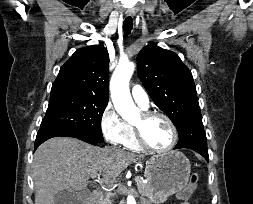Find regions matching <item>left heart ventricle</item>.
Listing matches in <instances>:
<instances>
[{
	"instance_id": "obj_1",
	"label": "left heart ventricle",
	"mask_w": 253,
	"mask_h": 204,
	"mask_svg": "<svg viewBox=\"0 0 253 204\" xmlns=\"http://www.w3.org/2000/svg\"><path fill=\"white\" fill-rule=\"evenodd\" d=\"M134 125L140 126L147 143L156 149L167 147L172 140V132L168 123L160 117L144 121L140 115L134 122Z\"/></svg>"
}]
</instances>
